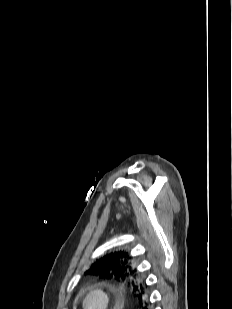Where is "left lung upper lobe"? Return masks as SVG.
I'll use <instances>...</instances> for the list:
<instances>
[{
    "instance_id": "5c2ea615",
    "label": "left lung upper lobe",
    "mask_w": 232,
    "mask_h": 309,
    "mask_svg": "<svg viewBox=\"0 0 232 309\" xmlns=\"http://www.w3.org/2000/svg\"><path fill=\"white\" fill-rule=\"evenodd\" d=\"M87 274L123 282L130 287L131 295L138 304L148 302L146 285L137 280L138 274L128 252L115 251L104 255L90 266L85 272Z\"/></svg>"
}]
</instances>
